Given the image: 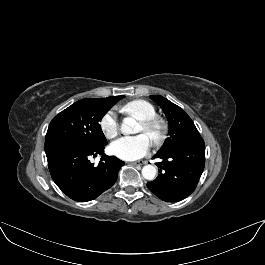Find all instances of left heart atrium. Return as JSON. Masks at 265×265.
Listing matches in <instances>:
<instances>
[{
  "label": "left heart atrium",
  "instance_id": "obj_1",
  "mask_svg": "<svg viewBox=\"0 0 265 265\" xmlns=\"http://www.w3.org/2000/svg\"><path fill=\"white\" fill-rule=\"evenodd\" d=\"M151 148L150 138L146 134L124 136L111 145V152L123 160H137L145 156Z\"/></svg>",
  "mask_w": 265,
  "mask_h": 265
}]
</instances>
